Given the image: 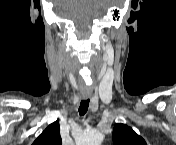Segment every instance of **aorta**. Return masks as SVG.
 Wrapping results in <instances>:
<instances>
[{"label":"aorta","mask_w":176,"mask_h":145,"mask_svg":"<svg viewBox=\"0 0 176 145\" xmlns=\"http://www.w3.org/2000/svg\"><path fill=\"white\" fill-rule=\"evenodd\" d=\"M103 138V134L94 129L84 133L82 143L83 145H101Z\"/></svg>","instance_id":"obj_1"}]
</instances>
